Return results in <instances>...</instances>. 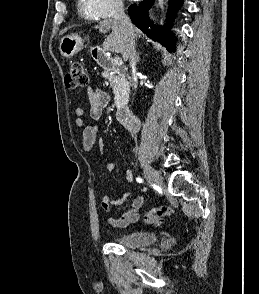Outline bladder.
Returning <instances> with one entry per match:
<instances>
[{"label":"bladder","instance_id":"1","mask_svg":"<svg viewBox=\"0 0 259 294\" xmlns=\"http://www.w3.org/2000/svg\"><path fill=\"white\" fill-rule=\"evenodd\" d=\"M157 236L151 232H131L119 236L115 243L125 248H141L155 243Z\"/></svg>","mask_w":259,"mask_h":294}]
</instances>
